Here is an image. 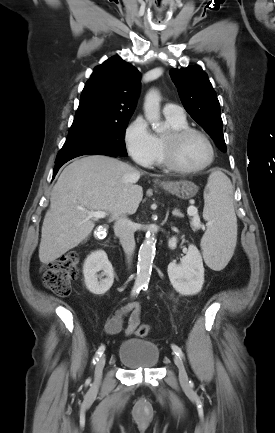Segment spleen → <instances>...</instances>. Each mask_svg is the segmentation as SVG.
Returning a JSON list of instances; mask_svg holds the SVG:
<instances>
[{"label": "spleen", "instance_id": "1", "mask_svg": "<svg viewBox=\"0 0 275 433\" xmlns=\"http://www.w3.org/2000/svg\"><path fill=\"white\" fill-rule=\"evenodd\" d=\"M233 187L221 171H214L204 190L203 217L207 231L201 240L203 258L213 270H222L233 256L237 241V218L233 206Z\"/></svg>", "mask_w": 275, "mask_h": 433}]
</instances>
